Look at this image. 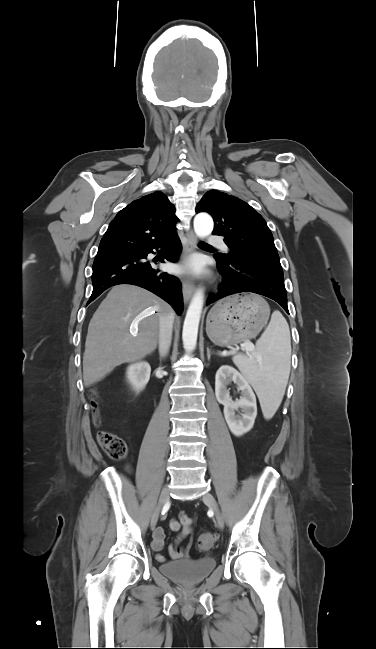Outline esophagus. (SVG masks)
<instances>
[{"label":"esophagus","mask_w":376,"mask_h":649,"mask_svg":"<svg viewBox=\"0 0 376 649\" xmlns=\"http://www.w3.org/2000/svg\"><path fill=\"white\" fill-rule=\"evenodd\" d=\"M188 244L185 248L184 258H187L197 248V237L192 230L187 232ZM182 290L185 302H189L195 291L194 283L189 280H183Z\"/></svg>","instance_id":"34e87169"}]
</instances>
